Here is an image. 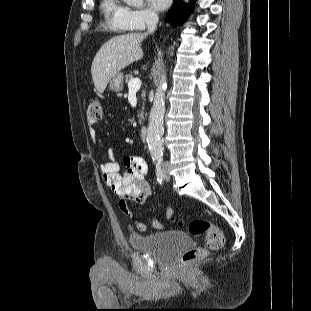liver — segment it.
<instances>
[{
    "mask_svg": "<svg viewBox=\"0 0 311 311\" xmlns=\"http://www.w3.org/2000/svg\"><path fill=\"white\" fill-rule=\"evenodd\" d=\"M144 39L142 33H128L116 36L101 46L91 66L93 82L99 93L104 92L117 73L143 57L141 43Z\"/></svg>",
    "mask_w": 311,
    "mask_h": 311,
    "instance_id": "1",
    "label": "liver"
}]
</instances>
